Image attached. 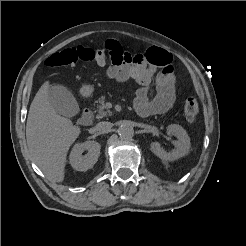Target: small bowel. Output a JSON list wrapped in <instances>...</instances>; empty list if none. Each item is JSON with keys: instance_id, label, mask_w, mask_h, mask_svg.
<instances>
[{"instance_id": "1", "label": "small bowel", "mask_w": 246, "mask_h": 246, "mask_svg": "<svg viewBox=\"0 0 246 246\" xmlns=\"http://www.w3.org/2000/svg\"><path fill=\"white\" fill-rule=\"evenodd\" d=\"M105 47L111 53L108 78L118 82L134 80L140 85L134 101V109L140 116L161 114L173 106L176 99V78L170 53L153 47L142 54L131 55L119 42L111 39ZM116 49L119 55H114ZM153 83L156 95L150 98L149 90Z\"/></svg>"}]
</instances>
